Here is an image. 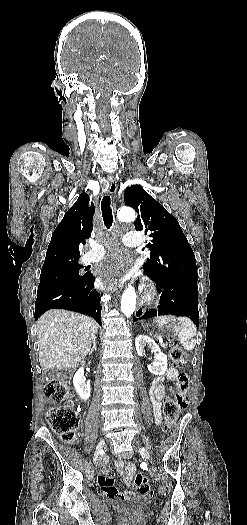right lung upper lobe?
<instances>
[{"mask_svg":"<svg viewBox=\"0 0 247 525\" xmlns=\"http://www.w3.org/2000/svg\"><path fill=\"white\" fill-rule=\"evenodd\" d=\"M89 196L81 193L75 204L65 213L54 230L49 243L42 270L78 261L79 245L90 237L94 206L88 207Z\"/></svg>","mask_w":247,"mask_h":525,"instance_id":"cb5924a9","label":"right lung upper lobe"}]
</instances>
